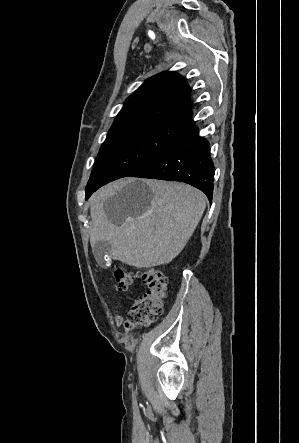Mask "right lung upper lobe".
Here are the masks:
<instances>
[{
  "label": "right lung upper lobe",
  "mask_w": 299,
  "mask_h": 443,
  "mask_svg": "<svg viewBox=\"0 0 299 443\" xmlns=\"http://www.w3.org/2000/svg\"><path fill=\"white\" fill-rule=\"evenodd\" d=\"M190 88L174 72H162L146 80L125 102L109 133L145 120L184 122L192 113Z\"/></svg>",
  "instance_id": "right-lung-upper-lobe-1"
}]
</instances>
